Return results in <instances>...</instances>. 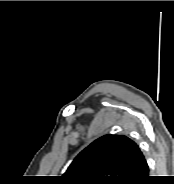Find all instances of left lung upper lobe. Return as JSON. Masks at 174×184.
Masks as SVG:
<instances>
[{"instance_id": "1", "label": "left lung upper lobe", "mask_w": 174, "mask_h": 184, "mask_svg": "<svg viewBox=\"0 0 174 184\" xmlns=\"http://www.w3.org/2000/svg\"><path fill=\"white\" fill-rule=\"evenodd\" d=\"M139 153L128 137L105 135L80 152L63 176L68 184H126Z\"/></svg>"}]
</instances>
